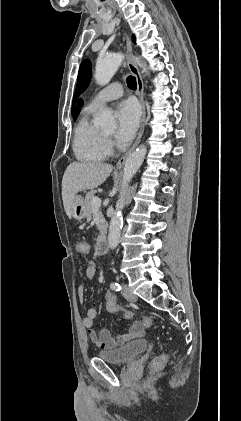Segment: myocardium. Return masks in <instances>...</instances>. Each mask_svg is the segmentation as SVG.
<instances>
[{
    "label": "myocardium",
    "mask_w": 241,
    "mask_h": 421,
    "mask_svg": "<svg viewBox=\"0 0 241 421\" xmlns=\"http://www.w3.org/2000/svg\"><path fill=\"white\" fill-rule=\"evenodd\" d=\"M105 137L108 139V136L107 135H105Z\"/></svg>",
    "instance_id": "myocardium-1"
}]
</instances>
